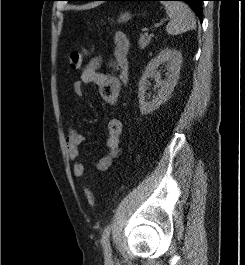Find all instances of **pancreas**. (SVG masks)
I'll return each mask as SVG.
<instances>
[{"mask_svg":"<svg viewBox=\"0 0 245 265\" xmlns=\"http://www.w3.org/2000/svg\"><path fill=\"white\" fill-rule=\"evenodd\" d=\"M152 35H140L138 45L140 49L147 47L151 41Z\"/></svg>","mask_w":245,"mask_h":265,"instance_id":"cf45deb5","label":"pancreas"}]
</instances>
